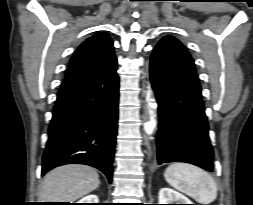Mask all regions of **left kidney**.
I'll use <instances>...</instances> for the list:
<instances>
[{
  "instance_id": "1",
  "label": "left kidney",
  "mask_w": 253,
  "mask_h": 205,
  "mask_svg": "<svg viewBox=\"0 0 253 205\" xmlns=\"http://www.w3.org/2000/svg\"><path fill=\"white\" fill-rule=\"evenodd\" d=\"M158 200L159 204H192L186 196L167 187L160 189Z\"/></svg>"
}]
</instances>
